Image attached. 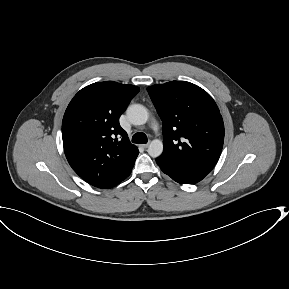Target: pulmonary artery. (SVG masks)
<instances>
[{"instance_id": "1", "label": "pulmonary artery", "mask_w": 289, "mask_h": 289, "mask_svg": "<svg viewBox=\"0 0 289 289\" xmlns=\"http://www.w3.org/2000/svg\"><path fill=\"white\" fill-rule=\"evenodd\" d=\"M153 128H154L155 130H157V128H158V127H157V124L154 123Z\"/></svg>"}]
</instances>
